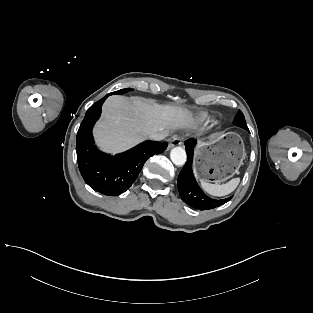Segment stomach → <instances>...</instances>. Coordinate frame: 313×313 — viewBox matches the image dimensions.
<instances>
[{"mask_svg": "<svg viewBox=\"0 0 313 313\" xmlns=\"http://www.w3.org/2000/svg\"><path fill=\"white\" fill-rule=\"evenodd\" d=\"M244 155V144L239 135L215 134L196 147L195 172L201 180L221 183L238 172Z\"/></svg>", "mask_w": 313, "mask_h": 313, "instance_id": "0dacf381", "label": "stomach"}]
</instances>
